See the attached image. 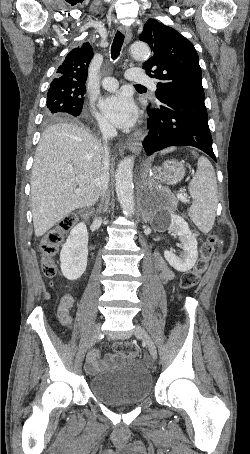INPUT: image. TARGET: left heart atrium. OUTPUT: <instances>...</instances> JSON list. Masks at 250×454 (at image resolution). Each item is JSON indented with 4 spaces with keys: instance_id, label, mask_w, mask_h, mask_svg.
I'll return each instance as SVG.
<instances>
[{
    "instance_id": "39dd6f15",
    "label": "left heart atrium",
    "mask_w": 250,
    "mask_h": 454,
    "mask_svg": "<svg viewBox=\"0 0 250 454\" xmlns=\"http://www.w3.org/2000/svg\"><path fill=\"white\" fill-rule=\"evenodd\" d=\"M99 106L103 115L119 128L129 129L137 120L136 106L132 98L124 92L103 97Z\"/></svg>"
}]
</instances>
